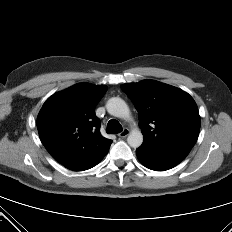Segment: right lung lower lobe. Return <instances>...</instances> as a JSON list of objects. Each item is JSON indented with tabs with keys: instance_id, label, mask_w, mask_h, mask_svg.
Segmentation results:
<instances>
[{
	"instance_id": "obj_1",
	"label": "right lung lower lobe",
	"mask_w": 232,
	"mask_h": 232,
	"mask_svg": "<svg viewBox=\"0 0 232 232\" xmlns=\"http://www.w3.org/2000/svg\"><path fill=\"white\" fill-rule=\"evenodd\" d=\"M99 161H95V162H91V163H85V164H80V165H74V166H71L69 167L68 169H71L73 171H83V170H87L89 168H92L94 167L95 165H97Z\"/></svg>"
}]
</instances>
